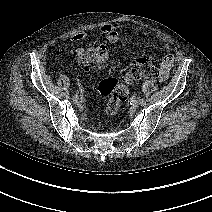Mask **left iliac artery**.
I'll list each match as a JSON object with an SVG mask.
<instances>
[{"mask_svg":"<svg viewBox=\"0 0 212 212\" xmlns=\"http://www.w3.org/2000/svg\"><path fill=\"white\" fill-rule=\"evenodd\" d=\"M139 101H140L141 106H146V100L145 99L141 98V99H139Z\"/></svg>","mask_w":212,"mask_h":212,"instance_id":"1","label":"left iliac artery"}]
</instances>
